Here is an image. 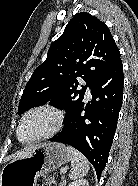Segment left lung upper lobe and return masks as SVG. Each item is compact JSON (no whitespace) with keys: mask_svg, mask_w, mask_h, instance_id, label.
<instances>
[{"mask_svg":"<svg viewBox=\"0 0 138 186\" xmlns=\"http://www.w3.org/2000/svg\"><path fill=\"white\" fill-rule=\"evenodd\" d=\"M120 59L119 49L105 23L86 12L77 13L52 43L46 60L33 72L21 96L18 114L50 101L68 119L86 88ZM77 77L87 85L77 90Z\"/></svg>","mask_w":138,"mask_h":186,"instance_id":"left-lung-upper-lobe-1","label":"left lung upper lobe"}]
</instances>
